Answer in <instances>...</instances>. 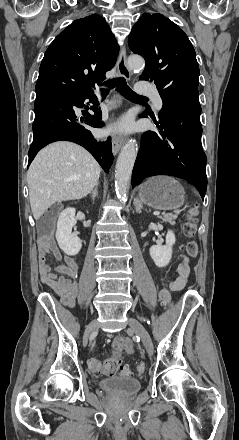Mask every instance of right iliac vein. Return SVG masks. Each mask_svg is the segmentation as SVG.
I'll list each match as a JSON object with an SVG mask.
<instances>
[{
  "label": "right iliac vein",
  "mask_w": 239,
  "mask_h": 440,
  "mask_svg": "<svg viewBox=\"0 0 239 440\" xmlns=\"http://www.w3.org/2000/svg\"><path fill=\"white\" fill-rule=\"evenodd\" d=\"M96 327H97V321L94 320L88 325L86 329V334L89 335L92 331L96 329Z\"/></svg>",
  "instance_id": "right-iliac-vein-1"
}]
</instances>
